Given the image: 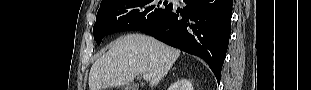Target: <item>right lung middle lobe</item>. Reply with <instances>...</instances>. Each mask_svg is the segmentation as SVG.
<instances>
[{"label": "right lung middle lobe", "mask_w": 311, "mask_h": 90, "mask_svg": "<svg viewBox=\"0 0 311 90\" xmlns=\"http://www.w3.org/2000/svg\"><path fill=\"white\" fill-rule=\"evenodd\" d=\"M172 8L161 0H106L96 16L94 39L100 45L106 35L140 30L161 20Z\"/></svg>", "instance_id": "dd1d6c3e"}]
</instances>
